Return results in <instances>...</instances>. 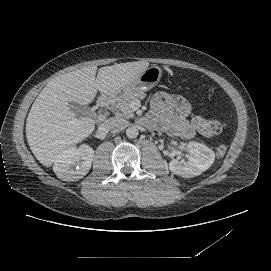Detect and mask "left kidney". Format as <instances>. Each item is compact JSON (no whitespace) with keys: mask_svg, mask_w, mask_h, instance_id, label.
<instances>
[{"mask_svg":"<svg viewBox=\"0 0 271 271\" xmlns=\"http://www.w3.org/2000/svg\"><path fill=\"white\" fill-rule=\"evenodd\" d=\"M188 157H180L169 162L170 171L186 178L199 175L206 171L215 160V153L206 145L191 142L187 145Z\"/></svg>","mask_w":271,"mask_h":271,"instance_id":"obj_1","label":"left kidney"}]
</instances>
